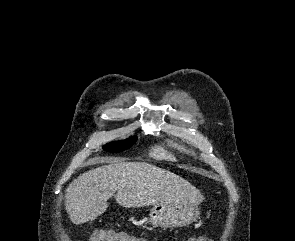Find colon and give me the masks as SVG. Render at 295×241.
<instances>
[{"instance_id": "1", "label": "colon", "mask_w": 295, "mask_h": 241, "mask_svg": "<svg viewBox=\"0 0 295 241\" xmlns=\"http://www.w3.org/2000/svg\"><path fill=\"white\" fill-rule=\"evenodd\" d=\"M133 236L110 230H98L93 233L90 241H132ZM140 239V238H139ZM187 241H208L206 239H189Z\"/></svg>"}]
</instances>
